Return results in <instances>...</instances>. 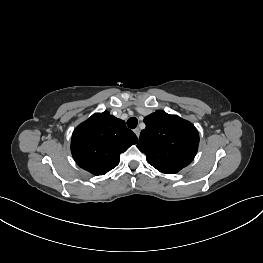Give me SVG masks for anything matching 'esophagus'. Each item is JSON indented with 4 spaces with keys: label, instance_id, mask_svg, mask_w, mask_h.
Wrapping results in <instances>:
<instances>
[{
    "label": "esophagus",
    "instance_id": "34e87169",
    "mask_svg": "<svg viewBox=\"0 0 263 263\" xmlns=\"http://www.w3.org/2000/svg\"><path fill=\"white\" fill-rule=\"evenodd\" d=\"M134 133L139 138V136H140V129L139 128L134 129Z\"/></svg>",
    "mask_w": 263,
    "mask_h": 263
}]
</instances>
